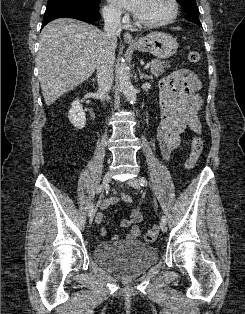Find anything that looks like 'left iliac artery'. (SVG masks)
Masks as SVG:
<instances>
[{"mask_svg": "<svg viewBox=\"0 0 245 314\" xmlns=\"http://www.w3.org/2000/svg\"><path fill=\"white\" fill-rule=\"evenodd\" d=\"M139 182H140V185L141 186H147L148 185V181L145 177H139ZM164 223H166L167 219L165 216H162V219H161Z\"/></svg>", "mask_w": 245, "mask_h": 314, "instance_id": "44dca946", "label": "left iliac artery"}]
</instances>
